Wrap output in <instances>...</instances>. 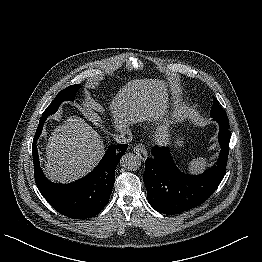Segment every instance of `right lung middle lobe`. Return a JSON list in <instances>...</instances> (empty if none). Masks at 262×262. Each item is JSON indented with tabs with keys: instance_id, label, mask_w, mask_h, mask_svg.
<instances>
[{
	"instance_id": "obj_1",
	"label": "right lung middle lobe",
	"mask_w": 262,
	"mask_h": 262,
	"mask_svg": "<svg viewBox=\"0 0 262 262\" xmlns=\"http://www.w3.org/2000/svg\"><path fill=\"white\" fill-rule=\"evenodd\" d=\"M79 88L80 86L79 84H77V85L69 86L66 89L60 91L57 94L55 100L47 107V109L45 110V112L42 115H46V116L51 115L57 111L59 105L63 101L73 100Z\"/></svg>"
}]
</instances>
